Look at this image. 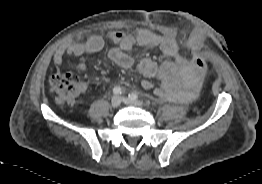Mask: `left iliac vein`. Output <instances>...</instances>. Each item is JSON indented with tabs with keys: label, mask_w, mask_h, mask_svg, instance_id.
Masks as SVG:
<instances>
[{
	"label": "left iliac vein",
	"mask_w": 262,
	"mask_h": 184,
	"mask_svg": "<svg viewBox=\"0 0 262 184\" xmlns=\"http://www.w3.org/2000/svg\"><path fill=\"white\" fill-rule=\"evenodd\" d=\"M121 100L125 103V104H128V105H134V106H138V107H141L143 106V102L140 101V100H133L131 98H127V97H121Z\"/></svg>",
	"instance_id": "left-iliac-vein-1"
}]
</instances>
